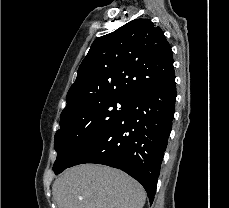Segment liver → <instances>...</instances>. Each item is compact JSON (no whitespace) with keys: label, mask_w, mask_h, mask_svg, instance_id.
Masks as SVG:
<instances>
[{"label":"liver","mask_w":229,"mask_h":208,"mask_svg":"<svg viewBox=\"0 0 229 208\" xmlns=\"http://www.w3.org/2000/svg\"><path fill=\"white\" fill-rule=\"evenodd\" d=\"M52 190L58 208H143L146 200L136 180L99 164L65 170Z\"/></svg>","instance_id":"obj_1"}]
</instances>
